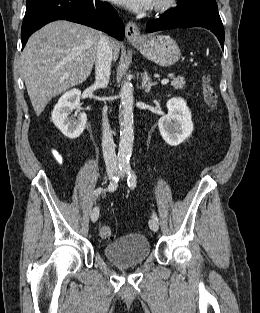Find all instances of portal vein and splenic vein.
I'll return each instance as SVG.
<instances>
[{
	"label": "portal vein and splenic vein",
	"instance_id": "obj_1",
	"mask_svg": "<svg viewBox=\"0 0 260 313\" xmlns=\"http://www.w3.org/2000/svg\"><path fill=\"white\" fill-rule=\"evenodd\" d=\"M169 82V80L168 79H163V80H161V83L164 85V84H167Z\"/></svg>",
	"mask_w": 260,
	"mask_h": 313
}]
</instances>
